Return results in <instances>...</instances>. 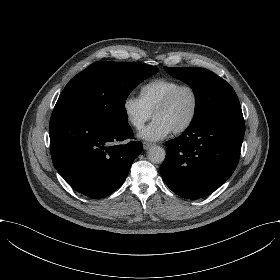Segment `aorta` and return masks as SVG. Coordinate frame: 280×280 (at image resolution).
<instances>
[{
    "mask_svg": "<svg viewBox=\"0 0 280 280\" xmlns=\"http://www.w3.org/2000/svg\"><path fill=\"white\" fill-rule=\"evenodd\" d=\"M165 155H166L165 150L157 145L152 146L148 150V159L150 162L154 164L162 163L165 159Z\"/></svg>",
    "mask_w": 280,
    "mask_h": 280,
    "instance_id": "obj_1",
    "label": "aorta"
}]
</instances>
